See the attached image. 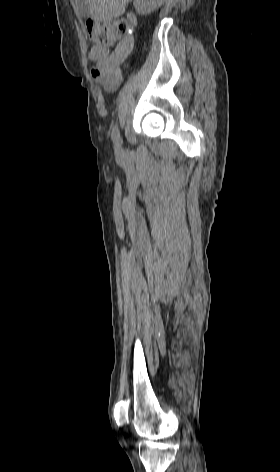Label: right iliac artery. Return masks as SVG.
<instances>
[{
    "label": "right iliac artery",
    "mask_w": 280,
    "mask_h": 472,
    "mask_svg": "<svg viewBox=\"0 0 280 472\" xmlns=\"http://www.w3.org/2000/svg\"><path fill=\"white\" fill-rule=\"evenodd\" d=\"M112 139H113V142L115 143V145L117 146V148H120L121 144H122V139L120 137L119 130H118L117 126H114V128L112 130Z\"/></svg>",
    "instance_id": "right-iliac-artery-1"
}]
</instances>
